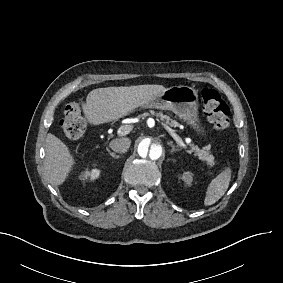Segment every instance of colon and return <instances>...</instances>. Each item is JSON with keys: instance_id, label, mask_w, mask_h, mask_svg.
I'll return each mask as SVG.
<instances>
[{"instance_id": "obj_1", "label": "colon", "mask_w": 283, "mask_h": 283, "mask_svg": "<svg viewBox=\"0 0 283 283\" xmlns=\"http://www.w3.org/2000/svg\"><path fill=\"white\" fill-rule=\"evenodd\" d=\"M202 108L215 130L225 132L230 126L229 109L218 91L205 87L201 90ZM61 125L70 140L81 138L87 130L88 123L81 115L77 104H69L65 108Z\"/></svg>"}]
</instances>
